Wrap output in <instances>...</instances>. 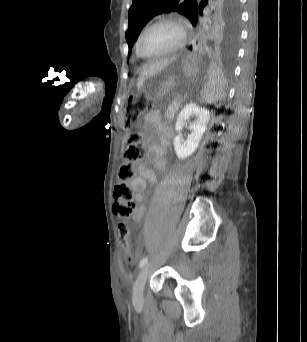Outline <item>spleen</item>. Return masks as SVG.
<instances>
[{"mask_svg":"<svg viewBox=\"0 0 307 342\" xmlns=\"http://www.w3.org/2000/svg\"><path fill=\"white\" fill-rule=\"evenodd\" d=\"M211 61L212 63L207 67V75L210 77L209 83H204V93L202 95L205 102L221 100L224 96V84H226V77H223V70H220L214 58Z\"/></svg>","mask_w":307,"mask_h":342,"instance_id":"spleen-1","label":"spleen"}]
</instances>
